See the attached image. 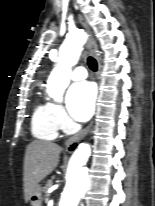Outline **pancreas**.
Masks as SVG:
<instances>
[{
    "mask_svg": "<svg viewBox=\"0 0 155 206\" xmlns=\"http://www.w3.org/2000/svg\"><path fill=\"white\" fill-rule=\"evenodd\" d=\"M52 184H53V181L52 180H49L47 183H46V185H45V187H44V193H45V197H46V199H48V196H49V194H48V189L52 186Z\"/></svg>",
    "mask_w": 155,
    "mask_h": 206,
    "instance_id": "cf45deb5",
    "label": "pancreas"
}]
</instances>
